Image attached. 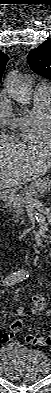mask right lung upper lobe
<instances>
[{
  "instance_id": "cb5924a9",
  "label": "right lung upper lobe",
  "mask_w": 51,
  "mask_h": 393,
  "mask_svg": "<svg viewBox=\"0 0 51 393\" xmlns=\"http://www.w3.org/2000/svg\"><path fill=\"white\" fill-rule=\"evenodd\" d=\"M8 59V56L0 51V81Z\"/></svg>"
}]
</instances>
